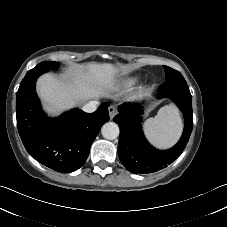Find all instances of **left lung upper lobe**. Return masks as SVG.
<instances>
[{
	"label": "left lung upper lobe",
	"mask_w": 227,
	"mask_h": 227,
	"mask_svg": "<svg viewBox=\"0 0 227 227\" xmlns=\"http://www.w3.org/2000/svg\"><path fill=\"white\" fill-rule=\"evenodd\" d=\"M166 73V82L183 83L186 82L179 71H176L168 66H163Z\"/></svg>",
	"instance_id": "left-lung-upper-lobe-1"
}]
</instances>
